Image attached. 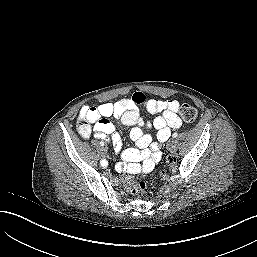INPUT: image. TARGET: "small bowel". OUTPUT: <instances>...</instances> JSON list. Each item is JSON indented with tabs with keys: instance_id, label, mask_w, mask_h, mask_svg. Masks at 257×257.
Masks as SVG:
<instances>
[{
	"instance_id": "c3829d8e",
	"label": "small bowel",
	"mask_w": 257,
	"mask_h": 257,
	"mask_svg": "<svg viewBox=\"0 0 257 257\" xmlns=\"http://www.w3.org/2000/svg\"><path fill=\"white\" fill-rule=\"evenodd\" d=\"M180 104L176 100L149 99L142 92H135L116 102H103L96 106H84L79 113L77 129L83 138L92 134L98 139L111 140L115 153L123 156L127 163L119 164L118 169L128 172L150 171L161 158L160 144L170 136L171 129H178L182 121L178 115ZM140 109L151 114H160L152 122H145ZM130 127V139L137 148L123 149L115 124ZM145 127L157 129V140L144 133Z\"/></svg>"
}]
</instances>
